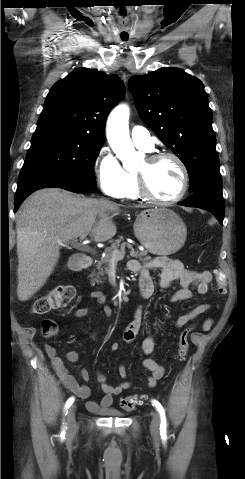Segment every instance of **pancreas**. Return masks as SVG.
<instances>
[{
    "instance_id": "obj_1",
    "label": "pancreas",
    "mask_w": 245,
    "mask_h": 479,
    "mask_svg": "<svg viewBox=\"0 0 245 479\" xmlns=\"http://www.w3.org/2000/svg\"><path fill=\"white\" fill-rule=\"evenodd\" d=\"M123 237L120 236L115 242L111 244L110 247H107L105 249V256L100 259L97 263V271L92 272L91 278L93 281L99 282V277L104 276L107 274L108 269H109V264L112 259V252L115 248L121 247L122 245L125 244V242L121 243L123 241ZM131 256L134 258H139L141 261H147L150 260L151 257L147 255V252H133L131 253Z\"/></svg>"
}]
</instances>
